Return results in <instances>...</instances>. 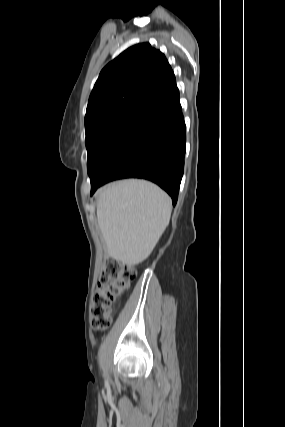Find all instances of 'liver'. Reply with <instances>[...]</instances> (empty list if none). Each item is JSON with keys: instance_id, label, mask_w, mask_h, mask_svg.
<instances>
[{"instance_id": "6515ba94", "label": "liver", "mask_w": 285, "mask_h": 427, "mask_svg": "<svg viewBox=\"0 0 285 427\" xmlns=\"http://www.w3.org/2000/svg\"><path fill=\"white\" fill-rule=\"evenodd\" d=\"M97 219L109 256L127 265L152 253L171 217V199L155 184L113 182L97 193Z\"/></svg>"}]
</instances>
